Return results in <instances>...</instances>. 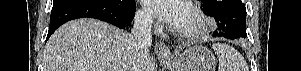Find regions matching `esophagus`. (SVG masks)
I'll list each match as a JSON object with an SVG mask.
<instances>
[{"label": "esophagus", "instance_id": "obj_1", "mask_svg": "<svg viewBox=\"0 0 301 71\" xmlns=\"http://www.w3.org/2000/svg\"><path fill=\"white\" fill-rule=\"evenodd\" d=\"M155 53L160 59H168L171 56L169 48L162 40H159L155 45Z\"/></svg>", "mask_w": 301, "mask_h": 71}]
</instances>
